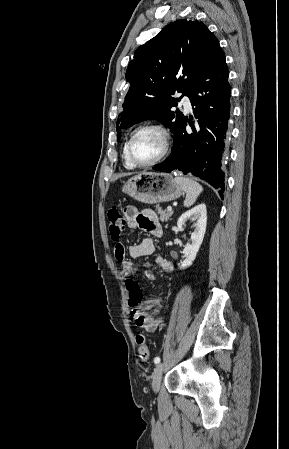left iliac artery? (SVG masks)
<instances>
[{
    "instance_id": "left-iliac-artery-1",
    "label": "left iliac artery",
    "mask_w": 289,
    "mask_h": 449,
    "mask_svg": "<svg viewBox=\"0 0 289 449\" xmlns=\"http://www.w3.org/2000/svg\"><path fill=\"white\" fill-rule=\"evenodd\" d=\"M154 363H155V364H158V363H160V357H155V359H154Z\"/></svg>"
}]
</instances>
